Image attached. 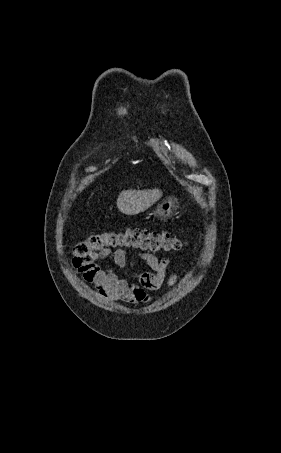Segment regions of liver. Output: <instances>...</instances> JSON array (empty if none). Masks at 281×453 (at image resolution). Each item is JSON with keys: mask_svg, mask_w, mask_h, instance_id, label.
<instances>
[{"mask_svg": "<svg viewBox=\"0 0 281 453\" xmlns=\"http://www.w3.org/2000/svg\"><path fill=\"white\" fill-rule=\"evenodd\" d=\"M162 190L152 188V190H122L117 198V206L124 214H139L147 210L151 204L159 200Z\"/></svg>", "mask_w": 281, "mask_h": 453, "instance_id": "1", "label": "liver"}]
</instances>
